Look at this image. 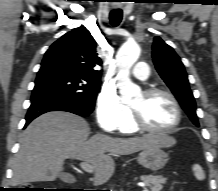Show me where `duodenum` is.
Returning <instances> with one entry per match:
<instances>
[{
    "label": "duodenum",
    "instance_id": "1",
    "mask_svg": "<svg viewBox=\"0 0 218 191\" xmlns=\"http://www.w3.org/2000/svg\"><path fill=\"white\" fill-rule=\"evenodd\" d=\"M72 191H80L78 188H75L74 190H72Z\"/></svg>",
    "mask_w": 218,
    "mask_h": 191
}]
</instances>
